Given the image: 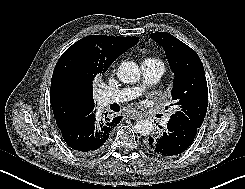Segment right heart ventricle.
<instances>
[{
  "mask_svg": "<svg viewBox=\"0 0 245 189\" xmlns=\"http://www.w3.org/2000/svg\"><path fill=\"white\" fill-rule=\"evenodd\" d=\"M147 59H149V60H157V59H154V58H152V59L151 58H147Z\"/></svg>",
  "mask_w": 245,
  "mask_h": 189,
  "instance_id": "right-heart-ventricle-1",
  "label": "right heart ventricle"
}]
</instances>
